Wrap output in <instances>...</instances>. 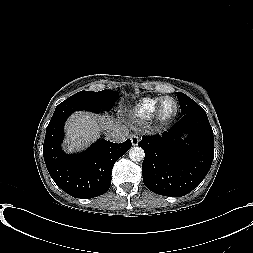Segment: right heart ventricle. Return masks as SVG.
I'll return each instance as SVG.
<instances>
[{
	"instance_id": "right-heart-ventricle-1",
	"label": "right heart ventricle",
	"mask_w": 253,
	"mask_h": 253,
	"mask_svg": "<svg viewBox=\"0 0 253 253\" xmlns=\"http://www.w3.org/2000/svg\"><path fill=\"white\" fill-rule=\"evenodd\" d=\"M161 97H148L140 100L133 108L132 114L139 121H146L154 116Z\"/></svg>"
}]
</instances>
